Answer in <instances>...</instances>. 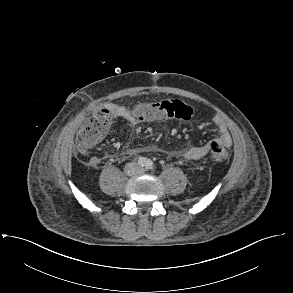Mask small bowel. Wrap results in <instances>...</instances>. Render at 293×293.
<instances>
[{"mask_svg":"<svg viewBox=\"0 0 293 293\" xmlns=\"http://www.w3.org/2000/svg\"><path fill=\"white\" fill-rule=\"evenodd\" d=\"M106 109H108L114 117L124 119L133 126L141 122L134 116V114L129 109H127L126 107L122 105L110 103L106 106ZM213 123L217 128L218 136L216 139L212 141H216L224 147H229L232 143V138L227 128V125L219 118H215L213 120ZM212 141H209L208 143L200 145V146H194L187 149L183 153V156L188 160H198L203 158L209 153L210 143ZM98 162L99 160L97 157H93L90 160V163L92 165H97Z\"/></svg>","mask_w":293,"mask_h":293,"instance_id":"c3829d8e","label":"small bowel"}]
</instances>
